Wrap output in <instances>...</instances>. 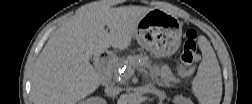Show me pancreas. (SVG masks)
<instances>
[{
  "label": "pancreas",
  "mask_w": 252,
  "mask_h": 104,
  "mask_svg": "<svg viewBox=\"0 0 252 104\" xmlns=\"http://www.w3.org/2000/svg\"><path fill=\"white\" fill-rule=\"evenodd\" d=\"M126 61L131 64L132 69H135L137 67L150 68L151 66V61L149 60V58L142 55L130 57ZM121 67L122 63L116 60L111 65H109L108 72L110 74H113ZM156 75L159 76L160 80L166 85H170L172 82H177L176 77L173 75L171 69L167 65H162L161 67H159L156 71ZM124 77L128 78L130 77V74L127 73Z\"/></svg>",
  "instance_id": "cf45deb5"
}]
</instances>
